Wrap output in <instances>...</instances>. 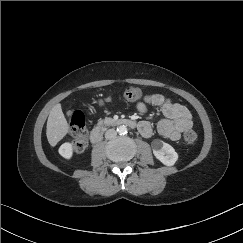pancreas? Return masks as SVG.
<instances>
[{
  "instance_id": "pancreas-1",
  "label": "pancreas",
  "mask_w": 243,
  "mask_h": 243,
  "mask_svg": "<svg viewBox=\"0 0 243 243\" xmlns=\"http://www.w3.org/2000/svg\"><path fill=\"white\" fill-rule=\"evenodd\" d=\"M110 120H111L110 118H106V119L100 121L99 124H100V125H101V124H107Z\"/></svg>"
}]
</instances>
